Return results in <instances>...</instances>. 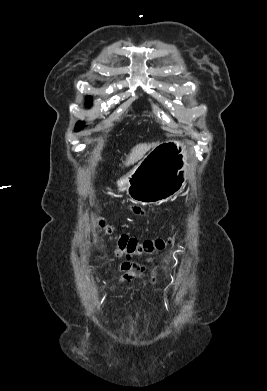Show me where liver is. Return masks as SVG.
I'll list each match as a JSON object with an SVG mask.
<instances>
[{
  "instance_id": "1",
  "label": "liver",
  "mask_w": 267,
  "mask_h": 391,
  "mask_svg": "<svg viewBox=\"0 0 267 391\" xmlns=\"http://www.w3.org/2000/svg\"><path fill=\"white\" fill-rule=\"evenodd\" d=\"M158 143H143L136 145L132 150L131 153L127 156L126 161L124 162V165L126 167L133 165L134 163L138 162L145 154L146 152L151 148L157 146Z\"/></svg>"
}]
</instances>
